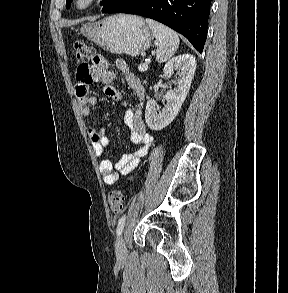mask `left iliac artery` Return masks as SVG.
I'll return each instance as SVG.
<instances>
[{
	"mask_svg": "<svg viewBox=\"0 0 288 293\" xmlns=\"http://www.w3.org/2000/svg\"><path fill=\"white\" fill-rule=\"evenodd\" d=\"M125 219H126V216L123 215L119 220H118V225H117V236H120L122 231H123V228H124V224H125Z\"/></svg>",
	"mask_w": 288,
	"mask_h": 293,
	"instance_id": "1",
	"label": "left iliac artery"
}]
</instances>
